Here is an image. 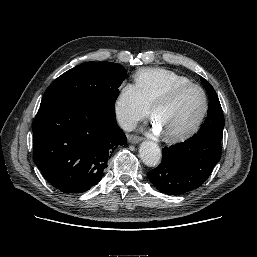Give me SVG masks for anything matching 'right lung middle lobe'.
<instances>
[{"label": "right lung middle lobe", "instance_id": "1", "mask_svg": "<svg viewBox=\"0 0 257 257\" xmlns=\"http://www.w3.org/2000/svg\"><path fill=\"white\" fill-rule=\"evenodd\" d=\"M127 73L112 62H85L55 79L47 88L40 107L68 100L93 101L115 110L119 86Z\"/></svg>", "mask_w": 257, "mask_h": 257}]
</instances>
